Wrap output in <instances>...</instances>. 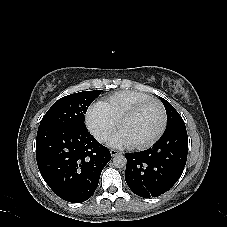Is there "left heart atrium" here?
<instances>
[{
  "label": "left heart atrium",
  "instance_id": "39dd6f15",
  "mask_svg": "<svg viewBox=\"0 0 227 227\" xmlns=\"http://www.w3.org/2000/svg\"><path fill=\"white\" fill-rule=\"evenodd\" d=\"M110 145L116 148H123L132 146V143L119 131L111 139Z\"/></svg>",
  "mask_w": 227,
  "mask_h": 227
}]
</instances>
